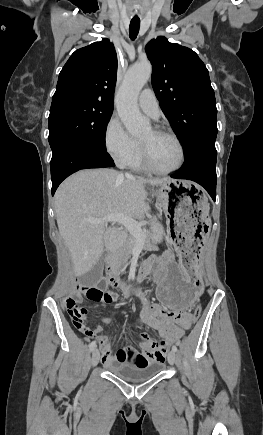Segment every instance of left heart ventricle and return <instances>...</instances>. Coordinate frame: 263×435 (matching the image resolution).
<instances>
[{"label":"left heart ventricle","mask_w":263,"mask_h":435,"mask_svg":"<svg viewBox=\"0 0 263 435\" xmlns=\"http://www.w3.org/2000/svg\"><path fill=\"white\" fill-rule=\"evenodd\" d=\"M152 163L159 169H171L180 161V151L175 141L167 136L157 135L149 130L142 138Z\"/></svg>","instance_id":"1"}]
</instances>
